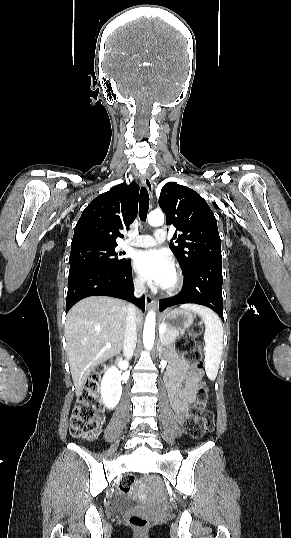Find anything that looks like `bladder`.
<instances>
[{
	"label": "bladder",
	"instance_id": "obj_1",
	"mask_svg": "<svg viewBox=\"0 0 291 538\" xmlns=\"http://www.w3.org/2000/svg\"><path fill=\"white\" fill-rule=\"evenodd\" d=\"M131 506L132 505L130 503H127V502H114L113 503V508L116 511H121V510H124L125 508L131 507Z\"/></svg>",
	"mask_w": 291,
	"mask_h": 538
}]
</instances>
